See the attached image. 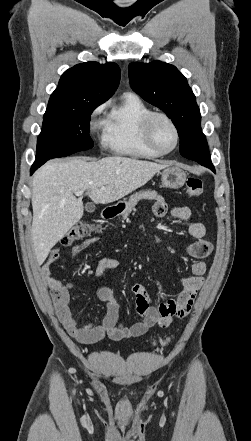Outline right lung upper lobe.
<instances>
[{"label":"right lung upper lobe","mask_w":251,"mask_h":441,"mask_svg":"<svg viewBox=\"0 0 251 441\" xmlns=\"http://www.w3.org/2000/svg\"><path fill=\"white\" fill-rule=\"evenodd\" d=\"M120 81L115 63L86 62L65 71L51 94L49 106H72L87 98L108 100Z\"/></svg>","instance_id":"obj_1"}]
</instances>
